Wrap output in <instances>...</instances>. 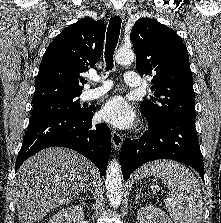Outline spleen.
Masks as SVG:
<instances>
[{
	"label": "spleen",
	"mask_w": 221,
	"mask_h": 223,
	"mask_svg": "<svg viewBox=\"0 0 221 223\" xmlns=\"http://www.w3.org/2000/svg\"><path fill=\"white\" fill-rule=\"evenodd\" d=\"M152 175L161 178L169 187L165 205L174 223L201 222V189L190 169L172 160H157L141 167L136 179Z\"/></svg>",
	"instance_id": "spleen-1"
}]
</instances>
